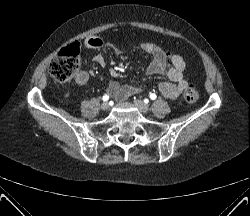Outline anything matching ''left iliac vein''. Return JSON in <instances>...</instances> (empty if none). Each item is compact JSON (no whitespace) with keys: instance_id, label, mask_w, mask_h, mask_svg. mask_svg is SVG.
<instances>
[{"instance_id":"left-iliac-vein-1","label":"left iliac vein","mask_w":250,"mask_h":216,"mask_svg":"<svg viewBox=\"0 0 250 216\" xmlns=\"http://www.w3.org/2000/svg\"><path fill=\"white\" fill-rule=\"evenodd\" d=\"M134 105L142 113H146L149 111L148 104H146L145 102H143L141 100H134Z\"/></svg>"}]
</instances>
